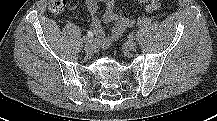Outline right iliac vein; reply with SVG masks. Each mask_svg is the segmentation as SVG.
<instances>
[{"instance_id": "right-iliac-vein-1", "label": "right iliac vein", "mask_w": 217, "mask_h": 121, "mask_svg": "<svg viewBox=\"0 0 217 121\" xmlns=\"http://www.w3.org/2000/svg\"><path fill=\"white\" fill-rule=\"evenodd\" d=\"M84 50L87 54H92L95 50V47L93 44H86Z\"/></svg>"}]
</instances>
